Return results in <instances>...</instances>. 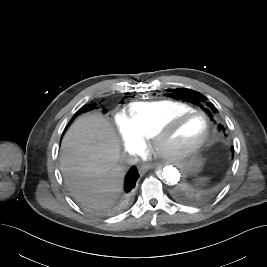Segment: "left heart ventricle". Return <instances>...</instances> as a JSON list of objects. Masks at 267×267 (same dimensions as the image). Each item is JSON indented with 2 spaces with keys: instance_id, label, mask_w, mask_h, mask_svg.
Masks as SVG:
<instances>
[{
  "instance_id": "obj_1",
  "label": "left heart ventricle",
  "mask_w": 267,
  "mask_h": 267,
  "mask_svg": "<svg viewBox=\"0 0 267 267\" xmlns=\"http://www.w3.org/2000/svg\"><path fill=\"white\" fill-rule=\"evenodd\" d=\"M204 130L205 121L202 116H188L172 129L166 139L165 147L182 148L189 146L202 137Z\"/></svg>"
}]
</instances>
